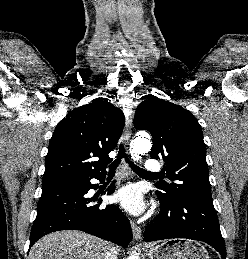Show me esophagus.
<instances>
[{"instance_id": "34e87169", "label": "esophagus", "mask_w": 248, "mask_h": 259, "mask_svg": "<svg viewBox=\"0 0 248 259\" xmlns=\"http://www.w3.org/2000/svg\"><path fill=\"white\" fill-rule=\"evenodd\" d=\"M132 126H133V110L131 107L126 108V129L124 134V144L125 148L127 149V145L129 143L131 133H132ZM122 169L129 173V167L127 161L124 159L122 163ZM131 228L133 232V237L135 240H141V228L134 222L131 221Z\"/></svg>"}]
</instances>
